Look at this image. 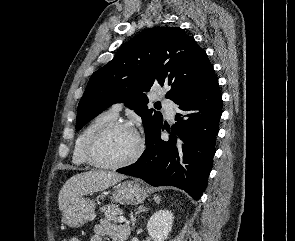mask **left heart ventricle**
I'll use <instances>...</instances> for the list:
<instances>
[{"instance_id": "left-heart-ventricle-1", "label": "left heart ventricle", "mask_w": 295, "mask_h": 241, "mask_svg": "<svg viewBox=\"0 0 295 241\" xmlns=\"http://www.w3.org/2000/svg\"><path fill=\"white\" fill-rule=\"evenodd\" d=\"M138 146L135 134L127 128H116L99 143L97 154L108 163H119L129 159Z\"/></svg>"}]
</instances>
